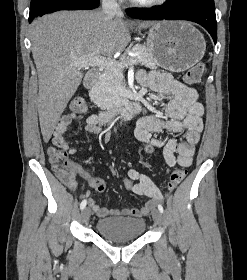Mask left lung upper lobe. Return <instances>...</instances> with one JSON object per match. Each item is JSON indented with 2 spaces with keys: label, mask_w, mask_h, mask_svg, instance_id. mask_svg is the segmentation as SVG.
Instances as JSON below:
<instances>
[{
  "label": "left lung upper lobe",
  "mask_w": 247,
  "mask_h": 280,
  "mask_svg": "<svg viewBox=\"0 0 247 280\" xmlns=\"http://www.w3.org/2000/svg\"><path fill=\"white\" fill-rule=\"evenodd\" d=\"M188 0H168L167 3L168 4H177V3H182Z\"/></svg>",
  "instance_id": "5c2ea615"
}]
</instances>
